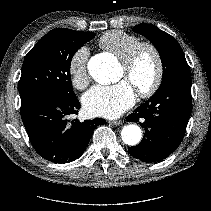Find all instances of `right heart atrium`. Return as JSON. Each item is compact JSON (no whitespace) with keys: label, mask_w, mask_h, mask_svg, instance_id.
<instances>
[{"label":"right heart atrium","mask_w":211,"mask_h":211,"mask_svg":"<svg viewBox=\"0 0 211 211\" xmlns=\"http://www.w3.org/2000/svg\"><path fill=\"white\" fill-rule=\"evenodd\" d=\"M88 59L89 49L86 46L77 48L70 56L68 73L72 85L77 89H84L89 83Z\"/></svg>","instance_id":"obj_1"}]
</instances>
